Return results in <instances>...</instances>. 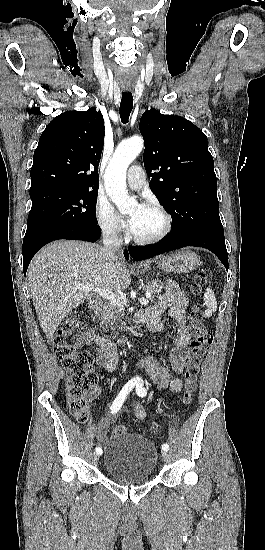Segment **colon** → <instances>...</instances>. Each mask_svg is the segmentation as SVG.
I'll return each instance as SVG.
<instances>
[{
	"instance_id": "colon-1",
	"label": "colon",
	"mask_w": 265,
	"mask_h": 550,
	"mask_svg": "<svg viewBox=\"0 0 265 550\" xmlns=\"http://www.w3.org/2000/svg\"><path fill=\"white\" fill-rule=\"evenodd\" d=\"M207 281L206 274L201 271L192 278L191 292L198 295ZM189 327L194 337L191 353L184 374V389L182 400L189 404L196 389V381L201 365L209 352L213 342V335L204 322V315L198 306L190 311ZM86 330V323L81 319L79 312H70L56 330L53 345L54 353L61 361L67 372L66 402L71 415L79 422L86 423L89 419V401L96 393L97 376L94 371V359L90 352L79 350L67 338L74 333ZM127 428L117 424L111 429L113 437L124 436Z\"/></svg>"
}]
</instances>
